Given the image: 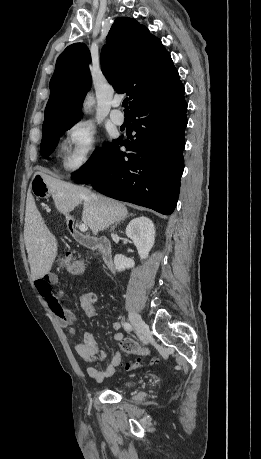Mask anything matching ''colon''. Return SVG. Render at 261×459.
<instances>
[{
	"instance_id": "colon-1",
	"label": "colon",
	"mask_w": 261,
	"mask_h": 459,
	"mask_svg": "<svg viewBox=\"0 0 261 459\" xmlns=\"http://www.w3.org/2000/svg\"><path fill=\"white\" fill-rule=\"evenodd\" d=\"M57 267L58 269L65 270L71 275H79L84 271V261L71 254H65L58 259ZM82 299L86 304L93 305L96 300V295L93 292L87 291L82 295ZM120 348L125 353L136 354L138 356H147L150 353L148 348L139 346L131 338L123 339L120 343ZM141 366L142 363L139 360L124 365L126 370L137 369Z\"/></svg>"
}]
</instances>
